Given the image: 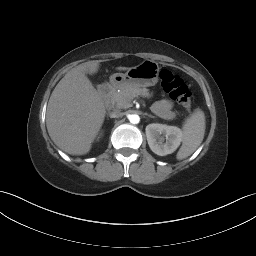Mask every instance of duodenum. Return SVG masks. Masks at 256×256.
<instances>
[{"mask_svg":"<svg viewBox=\"0 0 256 256\" xmlns=\"http://www.w3.org/2000/svg\"><path fill=\"white\" fill-rule=\"evenodd\" d=\"M112 90H113V85L111 83L102 84L99 87V95L102 99L106 100L109 98Z\"/></svg>","mask_w":256,"mask_h":256,"instance_id":"obj_1","label":"duodenum"}]
</instances>
